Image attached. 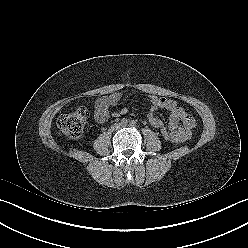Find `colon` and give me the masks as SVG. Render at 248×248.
Here are the masks:
<instances>
[{
    "label": "colon",
    "mask_w": 248,
    "mask_h": 248,
    "mask_svg": "<svg viewBox=\"0 0 248 248\" xmlns=\"http://www.w3.org/2000/svg\"><path fill=\"white\" fill-rule=\"evenodd\" d=\"M87 119L85 109L79 108L72 112L63 113L57 119V128L60 135L70 139L82 137ZM160 135L168 143H177V136L170 129L160 128Z\"/></svg>",
    "instance_id": "1"
}]
</instances>
